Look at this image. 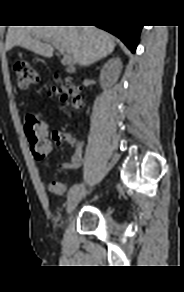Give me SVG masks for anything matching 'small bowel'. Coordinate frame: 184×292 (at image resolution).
Listing matches in <instances>:
<instances>
[{"label":"small bowel","mask_w":184,"mask_h":292,"mask_svg":"<svg viewBox=\"0 0 184 292\" xmlns=\"http://www.w3.org/2000/svg\"><path fill=\"white\" fill-rule=\"evenodd\" d=\"M52 139L57 144L66 143L71 149V160L69 162L63 163L59 166L61 170H75L81 167L83 160V145L82 142L77 140L74 135L68 132L62 131H54L52 133ZM61 191L59 194H63L67 186L65 184H61Z\"/></svg>","instance_id":"small-bowel-1"}]
</instances>
